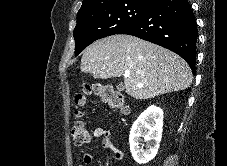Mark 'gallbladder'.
Instances as JSON below:
<instances>
[{"instance_id":"obj_1","label":"gallbladder","mask_w":227,"mask_h":166,"mask_svg":"<svg viewBox=\"0 0 227 166\" xmlns=\"http://www.w3.org/2000/svg\"><path fill=\"white\" fill-rule=\"evenodd\" d=\"M118 88H119L120 90H122V89H123V86L120 84V85H118Z\"/></svg>"}]
</instances>
